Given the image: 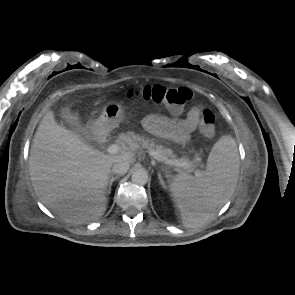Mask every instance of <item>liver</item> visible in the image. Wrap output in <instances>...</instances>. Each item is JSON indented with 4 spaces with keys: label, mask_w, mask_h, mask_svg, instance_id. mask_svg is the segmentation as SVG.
<instances>
[{
    "label": "liver",
    "mask_w": 295,
    "mask_h": 295,
    "mask_svg": "<svg viewBox=\"0 0 295 295\" xmlns=\"http://www.w3.org/2000/svg\"><path fill=\"white\" fill-rule=\"evenodd\" d=\"M132 163V150L106 155L56 123L46 112L35 133L29 159L33 188L43 204L68 222L92 221L106 211L112 165Z\"/></svg>",
    "instance_id": "obj_1"
}]
</instances>
